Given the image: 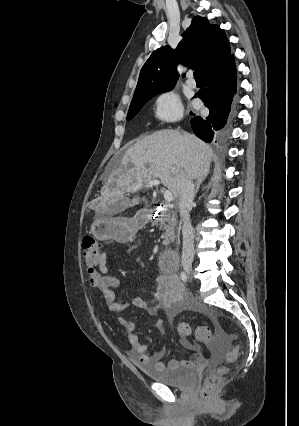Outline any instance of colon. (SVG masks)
Wrapping results in <instances>:
<instances>
[{"label":"colon","instance_id":"5ec220e1","mask_svg":"<svg viewBox=\"0 0 299 426\" xmlns=\"http://www.w3.org/2000/svg\"><path fill=\"white\" fill-rule=\"evenodd\" d=\"M82 254L87 267L90 284L100 294V297H102L101 292L97 287V281L92 276L100 262L102 254L100 243L92 236H85L82 242ZM216 330L219 335H223V331L218 325L216 326ZM177 331L179 336L183 339H186L189 335L194 333L198 342L208 343L211 340V331L206 326L192 327L189 323L182 322L178 325ZM228 338L232 342L235 340V336L233 335H229ZM236 357L237 349L234 346L229 352L227 358L229 361H233L236 359ZM226 374L227 368L225 366H219L208 374L200 390V396L203 400L209 401L214 397L221 381Z\"/></svg>","mask_w":299,"mask_h":426}]
</instances>
